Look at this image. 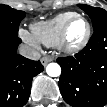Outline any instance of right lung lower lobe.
Here are the masks:
<instances>
[{
  "instance_id": "right-lung-lower-lobe-1",
  "label": "right lung lower lobe",
  "mask_w": 107,
  "mask_h": 107,
  "mask_svg": "<svg viewBox=\"0 0 107 107\" xmlns=\"http://www.w3.org/2000/svg\"><path fill=\"white\" fill-rule=\"evenodd\" d=\"M20 42L18 37H0V107L24 106L33 77L44 70L40 61L17 54Z\"/></svg>"
}]
</instances>
